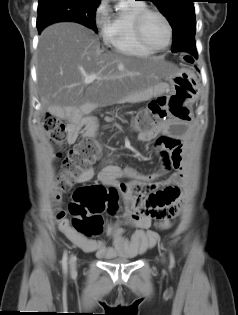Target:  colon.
Masks as SVG:
<instances>
[{"label":"colon","instance_id":"5ec220e1","mask_svg":"<svg viewBox=\"0 0 238 315\" xmlns=\"http://www.w3.org/2000/svg\"><path fill=\"white\" fill-rule=\"evenodd\" d=\"M187 61L192 58L187 57ZM166 98L159 97L151 101L147 108L140 111L134 119V128L139 132H149L157 128L166 116ZM44 128L50 139L62 149L67 138L66 125L54 115H47ZM100 151V143L94 135L82 137L63 158V170L58 177V185L66 189L76 176L91 166ZM61 154L58 153V156ZM117 208V190L114 187L89 186L79 188L73 193L70 211L74 215L72 225L83 235H97L102 229L100 214L114 212ZM170 225L163 221L161 226Z\"/></svg>","mask_w":238,"mask_h":315}]
</instances>
